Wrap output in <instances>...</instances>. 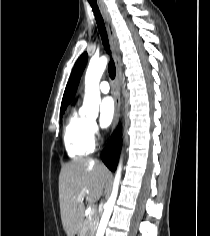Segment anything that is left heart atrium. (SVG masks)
<instances>
[{"label": "left heart atrium", "instance_id": "left-heart-atrium-1", "mask_svg": "<svg viewBox=\"0 0 210 236\" xmlns=\"http://www.w3.org/2000/svg\"><path fill=\"white\" fill-rule=\"evenodd\" d=\"M115 106L111 97H106L102 100L100 105V125L102 127H108L114 118Z\"/></svg>", "mask_w": 210, "mask_h": 236}]
</instances>
